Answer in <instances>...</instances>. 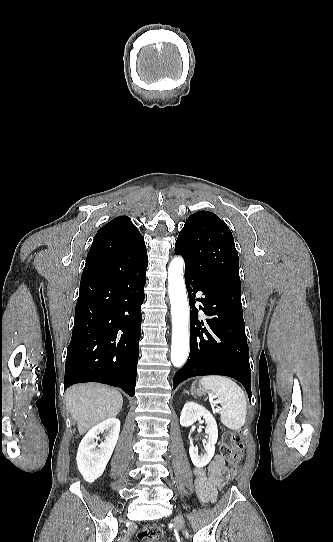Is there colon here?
<instances>
[{"instance_id":"5ec220e1","label":"colon","mask_w":333,"mask_h":542,"mask_svg":"<svg viewBox=\"0 0 333 542\" xmlns=\"http://www.w3.org/2000/svg\"><path fill=\"white\" fill-rule=\"evenodd\" d=\"M243 448L244 441L242 431L227 430L223 434V439L220 443V451L226 459L229 469L233 475H235L239 470ZM137 537L143 542H159L163 538V532L161 528L152 525L140 530Z\"/></svg>"}]
</instances>
